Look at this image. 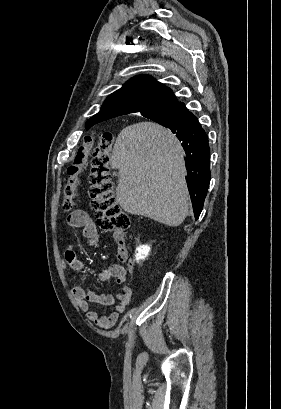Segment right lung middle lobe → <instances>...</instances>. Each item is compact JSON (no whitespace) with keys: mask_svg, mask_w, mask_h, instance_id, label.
<instances>
[{"mask_svg":"<svg viewBox=\"0 0 281 409\" xmlns=\"http://www.w3.org/2000/svg\"><path fill=\"white\" fill-rule=\"evenodd\" d=\"M151 120L159 123L162 126L168 127L169 125H172L173 123L177 122L178 118L167 116V117L153 118Z\"/></svg>","mask_w":281,"mask_h":409,"instance_id":"dd1d6c3e","label":"right lung middle lobe"}]
</instances>
